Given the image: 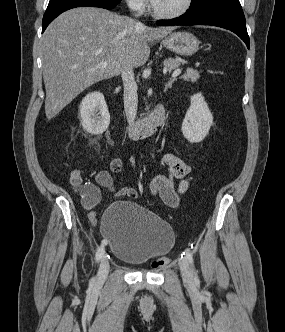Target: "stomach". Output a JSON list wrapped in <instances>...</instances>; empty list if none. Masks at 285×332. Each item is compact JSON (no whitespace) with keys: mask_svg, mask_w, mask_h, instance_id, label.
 I'll list each match as a JSON object with an SVG mask.
<instances>
[{"mask_svg":"<svg viewBox=\"0 0 285 332\" xmlns=\"http://www.w3.org/2000/svg\"><path fill=\"white\" fill-rule=\"evenodd\" d=\"M161 43L170 51L181 56H191L199 49L198 39L188 32L171 33L165 36Z\"/></svg>","mask_w":285,"mask_h":332,"instance_id":"stomach-1","label":"stomach"}]
</instances>
